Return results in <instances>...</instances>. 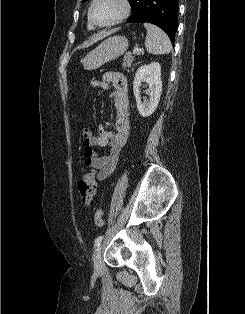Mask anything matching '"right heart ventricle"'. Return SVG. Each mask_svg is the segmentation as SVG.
I'll use <instances>...</instances> for the list:
<instances>
[{
  "instance_id": "right-heart-ventricle-1",
  "label": "right heart ventricle",
  "mask_w": 245,
  "mask_h": 314,
  "mask_svg": "<svg viewBox=\"0 0 245 314\" xmlns=\"http://www.w3.org/2000/svg\"><path fill=\"white\" fill-rule=\"evenodd\" d=\"M88 27H89L90 29L93 28V26L90 24V22L88 23Z\"/></svg>"
}]
</instances>
